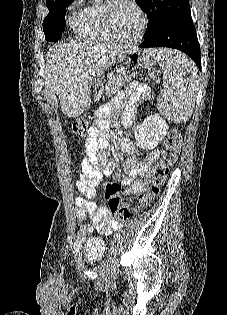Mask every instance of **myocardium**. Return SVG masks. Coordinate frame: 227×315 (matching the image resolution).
<instances>
[{"mask_svg": "<svg viewBox=\"0 0 227 315\" xmlns=\"http://www.w3.org/2000/svg\"><path fill=\"white\" fill-rule=\"evenodd\" d=\"M120 4H128L132 6L140 15L142 23L140 27V31L137 36L129 41H123L118 36L113 26V15L116 7ZM103 21L105 29L112 39V41L121 43L124 45L132 46L138 44L147 30L149 18L144 9L135 1V0H107L103 7Z\"/></svg>", "mask_w": 227, "mask_h": 315, "instance_id": "myocardium-1", "label": "myocardium"}]
</instances>
